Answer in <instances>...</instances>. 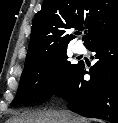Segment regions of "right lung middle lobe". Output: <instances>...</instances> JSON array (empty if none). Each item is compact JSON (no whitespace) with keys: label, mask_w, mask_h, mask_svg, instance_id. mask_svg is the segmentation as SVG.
<instances>
[{"label":"right lung middle lobe","mask_w":118,"mask_h":123,"mask_svg":"<svg viewBox=\"0 0 118 123\" xmlns=\"http://www.w3.org/2000/svg\"><path fill=\"white\" fill-rule=\"evenodd\" d=\"M79 65L68 61L66 49L44 55L25 65L11 105L49 99L70 80Z\"/></svg>","instance_id":"1"}]
</instances>
